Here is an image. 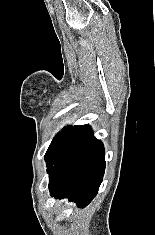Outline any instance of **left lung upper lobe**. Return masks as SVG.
<instances>
[{"mask_svg": "<svg viewBox=\"0 0 155 235\" xmlns=\"http://www.w3.org/2000/svg\"><path fill=\"white\" fill-rule=\"evenodd\" d=\"M78 126H71L63 129L60 133H58L53 141L51 142L46 154L45 160L49 157V155L63 142V140L70 135Z\"/></svg>", "mask_w": 155, "mask_h": 235, "instance_id": "1", "label": "left lung upper lobe"}]
</instances>
